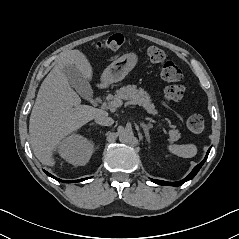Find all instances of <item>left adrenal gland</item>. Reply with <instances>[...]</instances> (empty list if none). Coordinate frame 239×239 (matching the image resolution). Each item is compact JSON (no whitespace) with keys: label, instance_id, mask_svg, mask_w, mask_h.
<instances>
[{"label":"left adrenal gland","instance_id":"obj_1","mask_svg":"<svg viewBox=\"0 0 239 239\" xmlns=\"http://www.w3.org/2000/svg\"><path fill=\"white\" fill-rule=\"evenodd\" d=\"M140 126L143 128L147 141L150 143L149 130L153 127L152 124H145L144 122L140 123Z\"/></svg>","mask_w":239,"mask_h":239}]
</instances>
